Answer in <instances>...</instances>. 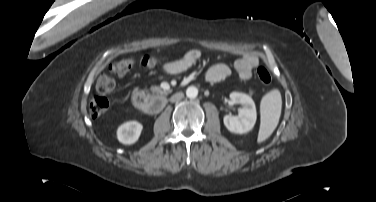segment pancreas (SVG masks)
Returning <instances> with one entry per match:
<instances>
[{"instance_id":"obj_1","label":"pancreas","mask_w":376,"mask_h":202,"mask_svg":"<svg viewBox=\"0 0 376 202\" xmlns=\"http://www.w3.org/2000/svg\"><path fill=\"white\" fill-rule=\"evenodd\" d=\"M150 91L155 95H163L166 94V91L162 90L160 87L152 86Z\"/></svg>"}]
</instances>
